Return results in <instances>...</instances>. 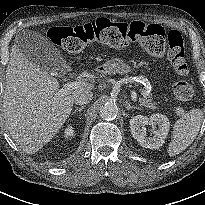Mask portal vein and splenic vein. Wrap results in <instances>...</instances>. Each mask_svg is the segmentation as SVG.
Instances as JSON below:
<instances>
[{
    "label": "portal vein and splenic vein",
    "instance_id": "18ae733b",
    "mask_svg": "<svg viewBox=\"0 0 205 205\" xmlns=\"http://www.w3.org/2000/svg\"><path fill=\"white\" fill-rule=\"evenodd\" d=\"M82 85V82H77V81H74V82H67V83H64L63 84V88L64 90H74V89H77L79 88L80 86ZM132 100L133 101H137V95L134 93L132 95Z\"/></svg>",
    "mask_w": 205,
    "mask_h": 205
}]
</instances>
